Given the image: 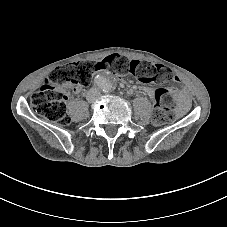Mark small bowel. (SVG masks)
I'll return each mask as SVG.
<instances>
[{
    "label": "small bowel",
    "instance_id": "c3829d8e",
    "mask_svg": "<svg viewBox=\"0 0 227 227\" xmlns=\"http://www.w3.org/2000/svg\"><path fill=\"white\" fill-rule=\"evenodd\" d=\"M99 71H102V70H99ZM176 80H178L177 77H176ZM142 91L146 93L148 96H150L151 98L155 99V91L152 88L144 86L142 87ZM179 102H180V111L185 110L188 104L187 96L185 93L180 94Z\"/></svg>",
    "mask_w": 227,
    "mask_h": 227
}]
</instances>
